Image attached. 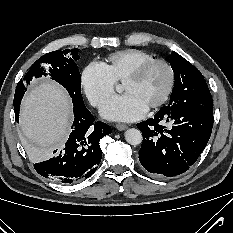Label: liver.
I'll list each match as a JSON object with an SVG mask.
<instances>
[{
    "instance_id": "obj_1",
    "label": "liver",
    "mask_w": 233,
    "mask_h": 233,
    "mask_svg": "<svg viewBox=\"0 0 233 233\" xmlns=\"http://www.w3.org/2000/svg\"><path fill=\"white\" fill-rule=\"evenodd\" d=\"M71 112L66 91L53 81H43L25 95L20 120L23 133L35 145L29 150L31 159L41 160L63 144L70 131Z\"/></svg>"
}]
</instances>
